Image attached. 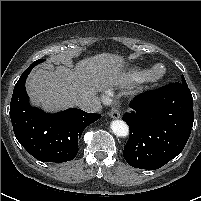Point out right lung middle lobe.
<instances>
[{"label": "right lung middle lobe", "mask_w": 201, "mask_h": 201, "mask_svg": "<svg viewBox=\"0 0 201 201\" xmlns=\"http://www.w3.org/2000/svg\"><path fill=\"white\" fill-rule=\"evenodd\" d=\"M43 61H45V60H44V59H39V60H37V61H34V62L32 63V65L36 66L37 64H40V63L43 62Z\"/></svg>", "instance_id": "dd1d6c3e"}]
</instances>
